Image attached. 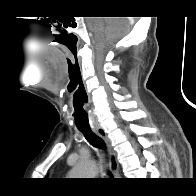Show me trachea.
<instances>
[{"mask_svg": "<svg viewBox=\"0 0 196 196\" xmlns=\"http://www.w3.org/2000/svg\"><path fill=\"white\" fill-rule=\"evenodd\" d=\"M83 135L85 136V138L87 139V141L94 147L105 151V142L103 141V139L101 137H99L98 135H96L90 127L88 128H78Z\"/></svg>", "mask_w": 196, "mask_h": 196, "instance_id": "obj_1", "label": "trachea"}]
</instances>
